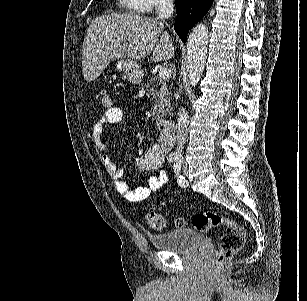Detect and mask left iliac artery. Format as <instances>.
Instances as JSON below:
<instances>
[{"instance_id":"left-iliac-artery-1","label":"left iliac artery","mask_w":307,"mask_h":301,"mask_svg":"<svg viewBox=\"0 0 307 301\" xmlns=\"http://www.w3.org/2000/svg\"><path fill=\"white\" fill-rule=\"evenodd\" d=\"M181 166H182V161L179 159L174 163L173 169H174L175 174L178 177L177 181L179 185L184 186L185 184L187 185V182L185 178L182 175H180Z\"/></svg>"}]
</instances>
